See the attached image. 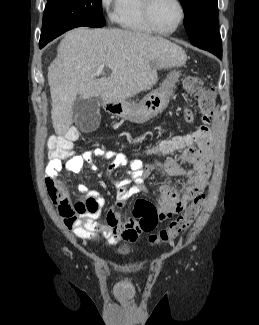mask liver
<instances>
[{
    "label": "liver",
    "instance_id": "obj_1",
    "mask_svg": "<svg viewBox=\"0 0 259 325\" xmlns=\"http://www.w3.org/2000/svg\"><path fill=\"white\" fill-rule=\"evenodd\" d=\"M186 61L182 47L139 31L80 27L67 32L48 69L55 133L64 135L74 122L77 95L100 97L104 103L125 101L151 89L157 68L178 67ZM101 64L111 70L109 77L94 75Z\"/></svg>",
    "mask_w": 259,
    "mask_h": 325
}]
</instances>
